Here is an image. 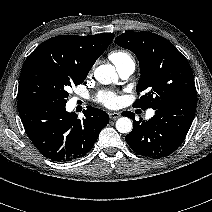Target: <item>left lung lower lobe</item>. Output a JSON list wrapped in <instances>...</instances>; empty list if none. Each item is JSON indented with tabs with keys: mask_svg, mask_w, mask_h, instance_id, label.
I'll return each mask as SVG.
<instances>
[{
	"mask_svg": "<svg viewBox=\"0 0 212 212\" xmlns=\"http://www.w3.org/2000/svg\"><path fill=\"white\" fill-rule=\"evenodd\" d=\"M197 97H183L165 103L148 121L138 122L132 115L133 130L125 137L137 154L153 159L173 153L184 141L192 124Z\"/></svg>",
	"mask_w": 212,
	"mask_h": 212,
	"instance_id": "left-lung-lower-lobe-1",
	"label": "left lung lower lobe"
}]
</instances>
